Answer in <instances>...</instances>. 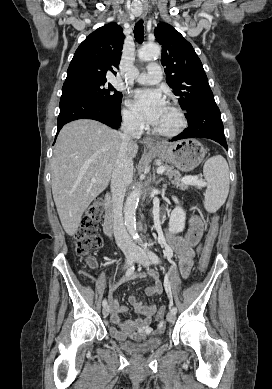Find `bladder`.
<instances>
[{"instance_id":"bladder-1","label":"bladder","mask_w":272,"mask_h":389,"mask_svg":"<svg viewBox=\"0 0 272 389\" xmlns=\"http://www.w3.org/2000/svg\"><path fill=\"white\" fill-rule=\"evenodd\" d=\"M112 337L118 340L112 333ZM118 345L121 349L131 355H144L157 350L162 344L161 338H149L142 342H132L127 340H118Z\"/></svg>"}]
</instances>
